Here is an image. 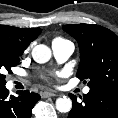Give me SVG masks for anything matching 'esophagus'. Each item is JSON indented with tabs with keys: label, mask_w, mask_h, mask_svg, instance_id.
<instances>
[{
	"label": "esophagus",
	"mask_w": 118,
	"mask_h": 118,
	"mask_svg": "<svg viewBox=\"0 0 118 118\" xmlns=\"http://www.w3.org/2000/svg\"><path fill=\"white\" fill-rule=\"evenodd\" d=\"M41 95H42L43 98H47V97L57 96V93L52 92V91H44Z\"/></svg>",
	"instance_id": "1"
}]
</instances>
